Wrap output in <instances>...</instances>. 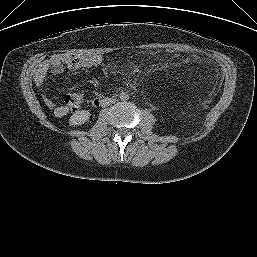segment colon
<instances>
[{"instance_id": "colon-1", "label": "colon", "mask_w": 257, "mask_h": 257, "mask_svg": "<svg viewBox=\"0 0 257 257\" xmlns=\"http://www.w3.org/2000/svg\"><path fill=\"white\" fill-rule=\"evenodd\" d=\"M170 53H178L179 50L178 49H175V48H168L167 49ZM63 103L64 105L72 110V111H75V110H78L82 103H83V96L79 93H70V94H67L64 98H63Z\"/></svg>"}]
</instances>
